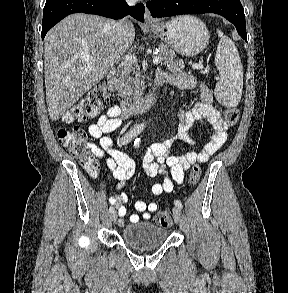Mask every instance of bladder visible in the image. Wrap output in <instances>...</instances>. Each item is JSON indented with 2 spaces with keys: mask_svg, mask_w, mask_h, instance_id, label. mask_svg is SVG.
<instances>
[{
  "mask_svg": "<svg viewBox=\"0 0 288 293\" xmlns=\"http://www.w3.org/2000/svg\"><path fill=\"white\" fill-rule=\"evenodd\" d=\"M168 237L167 230L151 222H138L125 226L122 240L136 249H154L163 245Z\"/></svg>",
  "mask_w": 288,
  "mask_h": 293,
  "instance_id": "obj_1",
  "label": "bladder"
}]
</instances>
